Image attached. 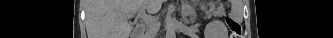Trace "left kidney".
Returning a JSON list of instances; mask_svg holds the SVG:
<instances>
[{
    "mask_svg": "<svg viewBox=\"0 0 333 38\" xmlns=\"http://www.w3.org/2000/svg\"><path fill=\"white\" fill-rule=\"evenodd\" d=\"M204 34L213 38H226L227 30L222 22L213 21L206 25Z\"/></svg>",
    "mask_w": 333,
    "mask_h": 38,
    "instance_id": "5707ae66",
    "label": "left kidney"
}]
</instances>
